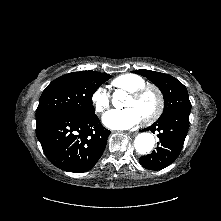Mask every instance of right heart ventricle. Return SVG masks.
Segmentation results:
<instances>
[{
	"instance_id": "1",
	"label": "right heart ventricle",
	"mask_w": 221,
	"mask_h": 221,
	"mask_svg": "<svg viewBox=\"0 0 221 221\" xmlns=\"http://www.w3.org/2000/svg\"><path fill=\"white\" fill-rule=\"evenodd\" d=\"M112 85L116 88L122 89L130 93L146 85V80L136 74H123L116 77L112 81Z\"/></svg>"
}]
</instances>
